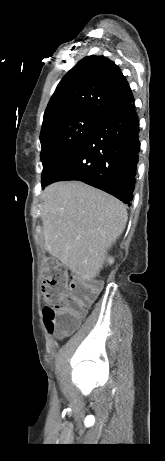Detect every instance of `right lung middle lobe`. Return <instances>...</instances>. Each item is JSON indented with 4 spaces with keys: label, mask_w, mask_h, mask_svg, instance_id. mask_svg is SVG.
Instances as JSON below:
<instances>
[{
    "label": "right lung middle lobe",
    "mask_w": 165,
    "mask_h": 461,
    "mask_svg": "<svg viewBox=\"0 0 165 461\" xmlns=\"http://www.w3.org/2000/svg\"><path fill=\"white\" fill-rule=\"evenodd\" d=\"M102 119L94 116H78L58 119L49 124L40 135L41 162L44 186L60 165L83 143Z\"/></svg>",
    "instance_id": "1"
}]
</instances>
